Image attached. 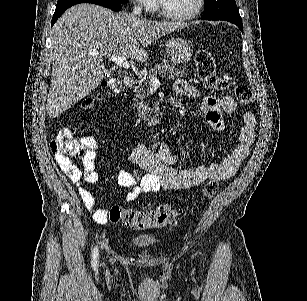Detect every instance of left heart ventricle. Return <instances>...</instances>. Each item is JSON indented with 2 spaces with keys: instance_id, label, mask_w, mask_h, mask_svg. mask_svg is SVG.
I'll return each mask as SVG.
<instances>
[{
  "instance_id": "1",
  "label": "left heart ventricle",
  "mask_w": 307,
  "mask_h": 301,
  "mask_svg": "<svg viewBox=\"0 0 307 301\" xmlns=\"http://www.w3.org/2000/svg\"><path fill=\"white\" fill-rule=\"evenodd\" d=\"M196 0H165L166 10L174 13L175 11H193Z\"/></svg>"
}]
</instances>
